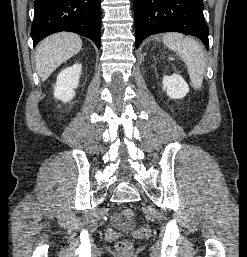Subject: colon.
<instances>
[{
    "label": "colon",
    "instance_id": "obj_1",
    "mask_svg": "<svg viewBox=\"0 0 247 257\" xmlns=\"http://www.w3.org/2000/svg\"><path fill=\"white\" fill-rule=\"evenodd\" d=\"M134 215L135 212L132 208H126L123 211V217L125 219L130 220L134 217ZM116 248L120 253H128L132 249V243L128 240H121L117 243Z\"/></svg>",
    "mask_w": 247,
    "mask_h": 257
}]
</instances>
